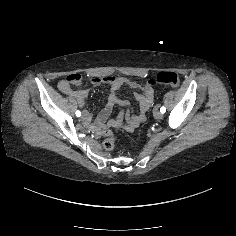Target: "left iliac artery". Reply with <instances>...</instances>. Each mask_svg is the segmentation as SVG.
<instances>
[{
  "mask_svg": "<svg viewBox=\"0 0 236 236\" xmlns=\"http://www.w3.org/2000/svg\"><path fill=\"white\" fill-rule=\"evenodd\" d=\"M160 112H161V113H165V112H166V108H165L164 106L161 107V108H160Z\"/></svg>",
  "mask_w": 236,
  "mask_h": 236,
  "instance_id": "obj_1",
  "label": "left iliac artery"
}]
</instances>
